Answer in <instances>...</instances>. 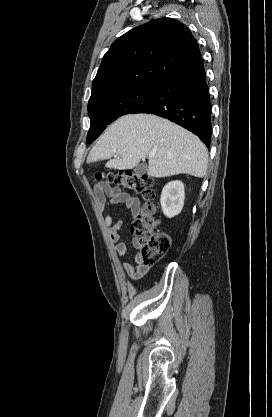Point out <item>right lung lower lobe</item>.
Wrapping results in <instances>:
<instances>
[{
    "label": "right lung lower lobe",
    "mask_w": 272,
    "mask_h": 417,
    "mask_svg": "<svg viewBox=\"0 0 272 417\" xmlns=\"http://www.w3.org/2000/svg\"><path fill=\"white\" fill-rule=\"evenodd\" d=\"M134 113H152L211 142V102L201 56L163 81L149 100Z\"/></svg>",
    "instance_id": "98d812e1"
}]
</instances>
